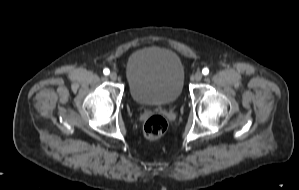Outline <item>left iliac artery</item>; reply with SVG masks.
I'll return each instance as SVG.
<instances>
[{
  "mask_svg": "<svg viewBox=\"0 0 299 190\" xmlns=\"http://www.w3.org/2000/svg\"><path fill=\"white\" fill-rule=\"evenodd\" d=\"M202 73H203L204 75H207V74L209 73V69H208V68H204V69L202 70Z\"/></svg>",
  "mask_w": 299,
  "mask_h": 190,
  "instance_id": "1",
  "label": "left iliac artery"
}]
</instances>
